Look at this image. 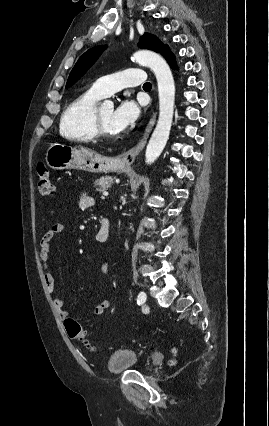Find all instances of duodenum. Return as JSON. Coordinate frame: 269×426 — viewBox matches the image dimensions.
<instances>
[{
	"label": "duodenum",
	"mask_w": 269,
	"mask_h": 426,
	"mask_svg": "<svg viewBox=\"0 0 269 426\" xmlns=\"http://www.w3.org/2000/svg\"><path fill=\"white\" fill-rule=\"evenodd\" d=\"M111 235V222L109 219L103 217L101 220L100 229L96 235V240L100 243L106 242Z\"/></svg>",
	"instance_id": "duodenum-1"
}]
</instances>
